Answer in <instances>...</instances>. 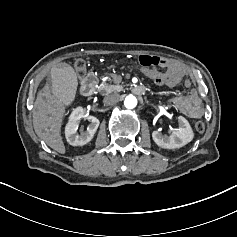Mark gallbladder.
Instances as JSON below:
<instances>
[{"instance_id": "obj_1", "label": "gallbladder", "mask_w": 237, "mask_h": 237, "mask_svg": "<svg viewBox=\"0 0 237 237\" xmlns=\"http://www.w3.org/2000/svg\"><path fill=\"white\" fill-rule=\"evenodd\" d=\"M71 65H55L51 73V87L61 105L71 104L76 96L77 77Z\"/></svg>"}]
</instances>
